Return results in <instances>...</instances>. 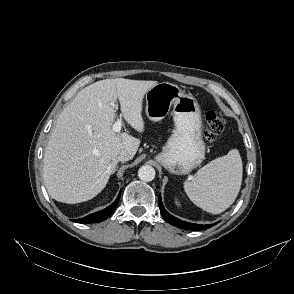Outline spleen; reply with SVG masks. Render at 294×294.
Returning <instances> with one entry per match:
<instances>
[{"label": "spleen", "mask_w": 294, "mask_h": 294, "mask_svg": "<svg viewBox=\"0 0 294 294\" xmlns=\"http://www.w3.org/2000/svg\"><path fill=\"white\" fill-rule=\"evenodd\" d=\"M242 160L237 149L212 160L184 183L189 199L198 207L220 214L235 201L242 182Z\"/></svg>", "instance_id": "1"}]
</instances>
